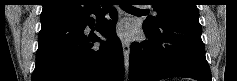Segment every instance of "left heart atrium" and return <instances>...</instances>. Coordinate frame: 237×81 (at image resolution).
I'll list each match as a JSON object with an SVG mask.
<instances>
[{
	"label": "left heart atrium",
	"mask_w": 237,
	"mask_h": 81,
	"mask_svg": "<svg viewBox=\"0 0 237 81\" xmlns=\"http://www.w3.org/2000/svg\"><path fill=\"white\" fill-rule=\"evenodd\" d=\"M118 30H119L120 34H122L124 36H129L131 34V32H132L131 26L128 23H126V22L122 23L119 26Z\"/></svg>",
	"instance_id": "39dd6f15"
}]
</instances>
